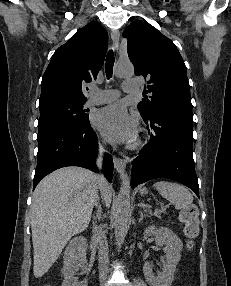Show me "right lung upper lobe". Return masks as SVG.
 Listing matches in <instances>:
<instances>
[{
	"label": "right lung upper lobe",
	"instance_id": "obj_1",
	"mask_svg": "<svg viewBox=\"0 0 231 286\" xmlns=\"http://www.w3.org/2000/svg\"><path fill=\"white\" fill-rule=\"evenodd\" d=\"M108 34L93 22L59 47L42 78L39 107L60 101H86L82 87L96 79L107 51Z\"/></svg>",
	"mask_w": 231,
	"mask_h": 286
}]
</instances>
